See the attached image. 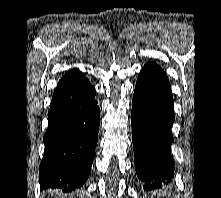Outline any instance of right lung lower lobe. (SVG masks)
I'll return each instance as SVG.
<instances>
[{
    "label": "right lung lower lobe",
    "instance_id": "98d812e1",
    "mask_svg": "<svg viewBox=\"0 0 221 198\" xmlns=\"http://www.w3.org/2000/svg\"><path fill=\"white\" fill-rule=\"evenodd\" d=\"M95 95L94 87L82 73L57 85L43 139L45 151L39 169L42 188L69 192L87 180L100 125Z\"/></svg>",
    "mask_w": 221,
    "mask_h": 198
}]
</instances>
